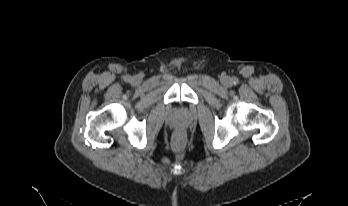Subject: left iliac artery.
Returning <instances> with one entry per match:
<instances>
[{"instance_id": "1", "label": "left iliac artery", "mask_w": 348, "mask_h": 206, "mask_svg": "<svg viewBox=\"0 0 348 206\" xmlns=\"http://www.w3.org/2000/svg\"><path fill=\"white\" fill-rule=\"evenodd\" d=\"M232 83L236 85L238 83V79L236 77L232 78Z\"/></svg>"}]
</instances>
